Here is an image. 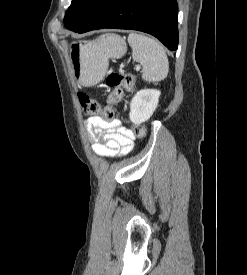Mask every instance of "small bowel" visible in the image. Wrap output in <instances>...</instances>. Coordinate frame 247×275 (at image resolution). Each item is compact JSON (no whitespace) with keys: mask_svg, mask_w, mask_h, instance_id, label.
Masks as SVG:
<instances>
[{"mask_svg":"<svg viewBox=\"0 0 247 275\" xmlns=\"http://www.w3.org/2000/svg\"><path fill=\"white\" fill-rule=\"evenodd\" d=\"M93 151L101 157H121L133 148L135 135L116 118L93 115L86 120Z\"/></svg>","mask_w":247,"mask_h":275,"instance_id":"1","label":"small bowel"}]
</instances>
